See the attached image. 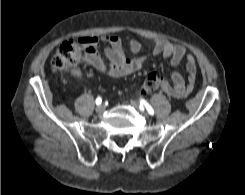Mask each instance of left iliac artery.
Instances as JSON below:
<instances>
[{"mask_svg": "<svg viewBox=\"0 0 245 195\" xmlns=\"http://www.w3.org/2000/svg\"><path fill=\"white\" fill-rule=\"evenodd\" d=\"M143 106H145V108L147 109V111L150 115H154L153 108L144 99H141L140 100V108L143 109Z\"/></svg>", "mask_w": 245, "mask_h": 195, "instance_id": "obj_1", "label": "left iliac artery"}]
</instances>
